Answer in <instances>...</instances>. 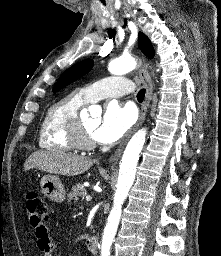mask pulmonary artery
<instances>
[{
	"label": "pulmonary artery",
	"instance_id": "e3ab8cb5",
	"mask_svg": "<svg viewBox=\"0 0 221 256\" xmlns=\"http://www.w3.org/2000/svg\"><path fill=\"white\" fill-rule=\"evenodd\" d=\"M132 91L131 82L124 77L112 76L84 86L80 92L88 102L108 97H122Z\"/></svg>",
	"mask_w": 221,
	"mask_h": 256
}]
</instances>
